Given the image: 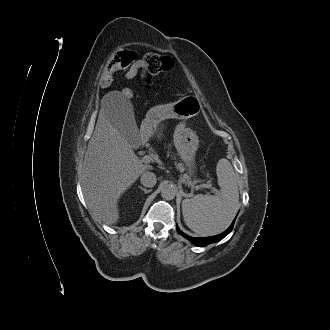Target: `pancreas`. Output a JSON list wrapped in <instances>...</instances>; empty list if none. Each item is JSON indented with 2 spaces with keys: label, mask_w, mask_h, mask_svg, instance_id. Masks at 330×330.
Segmentation results:
<instances>
[{
  "label": "pancreas",
  "mask_w": 330,
  "mask_h": 330,
  "mask_svg": "<svg viewBox=\"0 0 330 330\" xmlns=\"http://www.w3.org/2000/svg\"><path fill=\"white\" fill-rule=\"evenodd\" d=\"M177 167H178L179 170H181V171H183V170L185 169L182 163H178V164H177ZM181 181H182L184 184H186V185H189V186H192V185H193V182L191 181L189 175H187V174L182 175V177H181Z\"/></svg>",
  "instance_id": "pancreas-1"
}]
</instances>
